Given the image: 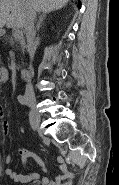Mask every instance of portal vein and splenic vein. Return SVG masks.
I'll return each mask as SVG.
<instances>
[{"label":"portal vein and splenic vein","mask_w":119,"mask_h":185,"mask_svg":"<svg viewBox=\"0 0 119 185\" xmlns=\"http://www.w3.org/2000/svg\"><path fill=\"white\" fill-rule=\"evenodd\" d=\"M22 35V31L19 30V29H16L15 32H14V37L15 38H20Z\"/></svg>","instance_id":"portal-vein-and-splenic-vein-1"}]
</instances>
